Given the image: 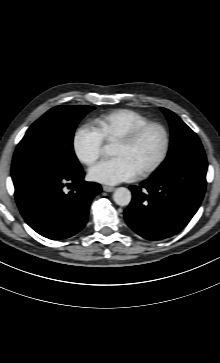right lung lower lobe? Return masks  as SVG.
Listing matches in <instances>:
<instances>
[{
    "label": "right lung lower lobe",
    "instance_id": "1",
    "mask_svg": "<svg viewBox=\"0 0 220 363\" xmlns=\"http://www.w3.org/2000/svg\"><path fill=\"white\" fill-rule=\"evenodd\" d=\"M80 170L71 175H36L15 185V198L27 224L50 239L75 235L86 224L92 199L101 192L97 183L85 182ZM75 183L66 194L63 187Z\"/></svg>",
    "mask_w": 220,
    "mask_h": 363
}]
</instances>
